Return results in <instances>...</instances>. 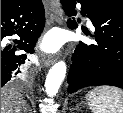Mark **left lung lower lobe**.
<instances>
[{
	"label": "left lung lower lobe",
	"mask_w": 123,
	"mask_h": 113,
	"mask_svg": "<svg viewBox=\"0 0 123 113\" xmlns=\"http://www.w3.org/2000/svg\"><path fill=\"white\" fill-rule=\"evenodd\" d=\"M77 2L95 27L96 43L80 42L76 47L68 74V92L99 85L123 89V11L102 0H61L69 16L76 14ZM68 25L77 27L75 20H68Z\"/></svg>",
	"instance_id": "1"
}]
</instances>
